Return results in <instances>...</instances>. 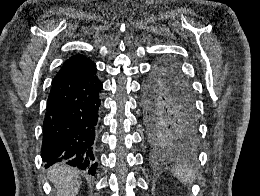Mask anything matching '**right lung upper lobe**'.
<instances>
[{
	"label": "right lung upper lobe",
	"mask_w": 260,
	"mask_h": 196,
	"mask_svg": "<svg viewBox=\"0 0 260 196\" xmlns=\"http://www.w3.org/2000/svg\"><path fill=\"white\" fill-rule=\"evenodd\" d=\"M96 69V64L83 55H75L65 61L53 82H58L67 78L85 75Z\"/></svg>",
	"instance_id": "obj_1"
}]
</instances>
